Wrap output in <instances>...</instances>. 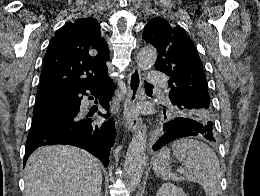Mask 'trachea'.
Listing matches in <instances>:
<instances>
[{
  "mask_svg": "<svg viewBox=\"0 0 260 196\" xmlns=\"http://www.w3.org/2000/svg\"><path fill=\"white\" fill-rule=\"evenodd\" d=\"M144 87L145 88H154L153 85H151L150 83H147V81L144 82Z\"/></svg>",
  "mask_w": 260,
  "mask_h": 196,
  "instance_id": "trachea-1",
  "label": "trachea"
}]
</instances>
